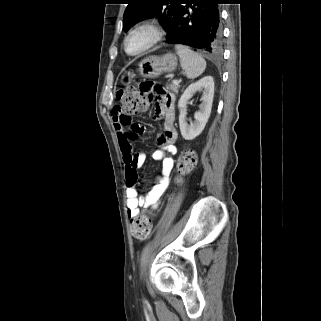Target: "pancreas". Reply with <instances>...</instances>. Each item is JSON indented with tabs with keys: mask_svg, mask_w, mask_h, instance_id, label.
<instances>
[{
	"mask_svg": "<svg viewBox=\"0 0 321 321\" xmlns=\"http://www.w3.org/2000/svg\"><path fill=\"white\" fill-rule=\"evenodd\" d=\"M166 87H167V89H170L171 91H173L175 93H178L180 85H179V83H170V84H167Z\"/></svg>",
	"mask_w": 321,
	"mask_h": 321,
	"instance_id": "obj_1",
	"label": "pancreas"
}]
</instances>
